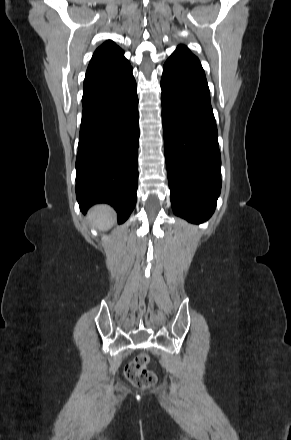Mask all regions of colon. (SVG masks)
<instances>
[{"label": "colon", "mask_w": 291, "mask_h": 440, "mask_svg": "<svg viewBox=\"0 0 291 440\" xmlns=\"http://www.w3.org/2000/svg\"><path fill=\"white\" fill-rule=\"evenodd\" d=\"M149 362L147 354H140L126 365L125 374L136 387L143 388L157 382L155 373L147 369Z\"/></svg>", "instance_id": "5ec220e1"}]
</instances>
